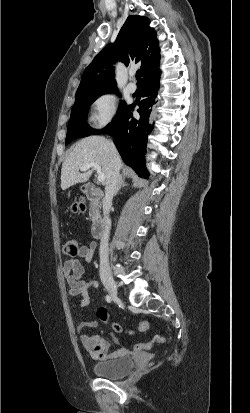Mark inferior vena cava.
I'll use <instances>...</instances> for the list:
<instances>
[{
  "mask_svg": "<svg viewBox=\"0 0 250 413\" xmlns=\"http://www.w3.org/2000/svg\"><path fill=\"white\" fill-rule=\"evenodd\" d=\"M111 155H112V172L110 180L106 183L105 186V197L103 199V214H104V231L100 241V267L109 268L108 263V240L111 229V219L109 217V207L112 204V199L115 194L116 186L119 179L120 171V158L116 150L115 145L111 142Z\"/></svg>",
  "mask_w": 250,
  "mask_h": 413,
  "instance_id": "inferior-vena-cava-1",
  "label": "inferior vena cava"
}]
</instances>
